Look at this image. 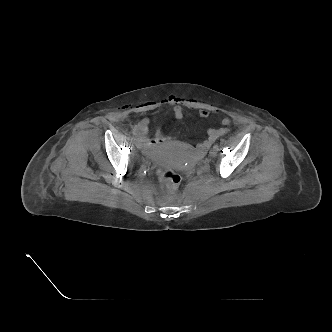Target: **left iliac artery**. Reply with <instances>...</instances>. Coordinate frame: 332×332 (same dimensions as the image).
<instances>
[{"label":"left iliac artery","mask_w":332,"mask_h":332,"mask_svg":"<svg viewBox=\"0 0 332 332\" xmlns=\"http://www.w3.org/2000/svg\"><path fill=\"white\" fill-rule=\"evenodd\" d=\"M213 148L216 149V150L218 151V150H219V146H218V144H215V145L213 146Z\"/></svg>","instance_id":"obj_1"}]
</instances>
